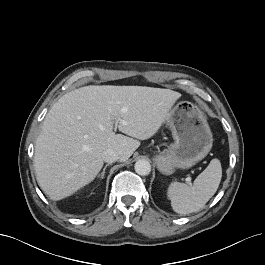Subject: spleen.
I'll return each instance as SVG.
<instances>
[{"instance_id": "1", "label": "spleen", "mask_w": 265, "mask_h": 265, "mask_svg": "<svg viewBox=\"0 0 265 265\" xmlns=\"http://www.w3.org/2000/svg\"><path fill=\"white\" fill-rule=\"evenodd\" d=\"M222 177L221 163L213 159L195 179L192 186L177 181L171 182L167 197L176 213L189 214L201 210L216 193Z\"/></svg>"}]
</instances>
